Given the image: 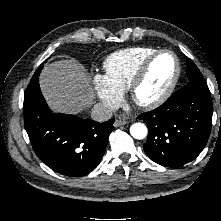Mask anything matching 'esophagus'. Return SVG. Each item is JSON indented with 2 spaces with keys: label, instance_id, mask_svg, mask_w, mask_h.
Instances as JSON below:
<instances>
[{
  "label": "esophagus",
  "instance_id": "34e87169",
  "mask_svg": "<svg viewBox=\"0 0 221 221\" xmlns=\"http://www.w3.org/2000/svg\"><path fill=\"white\" fill-rule=\"evenodd\" d=\"M127 123H128V121L125 120V119H117V120H115V122H114V126H115V127H119V126L125 125V124H127Z\"/></svg>",
  "mask_w": 221,
  "mask_h": 221
}]
</instances>
